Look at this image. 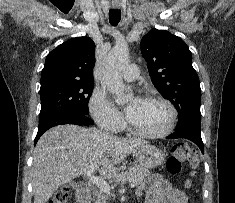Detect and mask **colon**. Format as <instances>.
<instances>
[{
  "mask_svg": "<svg viewBox=\"0 0 235 203\" xmlns=\"http://www.w3.org/2000/svg\"><path fill=\"white\" fill-rule=\"evenodd\" d=\"M198 158L196 151L187 144H176L172 147L170 156L167 159L166 167L168 172L177 175L184 166L194 168ZM70 189L67 186L60 188L47 203H69Z\"/></svg>",
  "mask_w": 235,
  "mask_h": 203,
  "instance_id": "5ec220e1",
  "label": "colon"
}]
</instances>
